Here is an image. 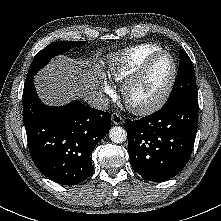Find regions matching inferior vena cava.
<instances>
[{
    "mask_svg": "<svg viewBox=\"0 0 221 221\" xmlns=\"http://www.w3.org/2000/svg\"><path fill=\"white\" fill-rule=\"evenodd\" d=\"M86 101L91 107L99 110H107L110 104V100L102 92H93L88 95Z\"/></svg>",
    "mask_w": 221,
    "mask_h": 221,
    "instance_id": "602c4592",
    "label": "inferior vena cava"
}]
</instances>
